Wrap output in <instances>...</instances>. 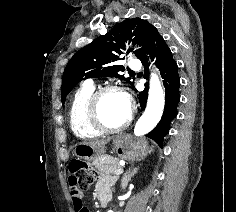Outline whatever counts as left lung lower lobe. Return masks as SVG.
<instances>
[{"label":"left lung lower lobe","mask_w":236,"mask_h":212,"mask_svg":"<svg viewBox=\"0 0 236 212\" xmlns=\"http://www.w3.org/2000/svg\"><path fill=\"white\" fill-rule=\"evenodd\" d=\"M146 54H150L151 59H156L157 68L160 69L165 87V107L162 118L157 126L147 134V137L153 139L158 145L162 147L164 136L169 131L171 121L176 117L177 106L180 100L179 87L180 78L178 74V66L169 47L166 45L163 37L158 33L154 27L149 35ZM148 72V58L143 55L140 59ZM148 95V85L144 91L139 93L141 111L145 108Z\"/></svg>","instance_id":"1"}]
</instances>
